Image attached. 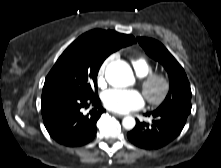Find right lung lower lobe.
Returning a JSON list of instances; mask_svg holds the SVG:
<instances>
[{"label":"right lung lower lobe","instance_id":"1","mask_svg":"<svg viewBox=\"0 0 221 168\" xmlns=\"http://www.w3.org/2000/svg\"><path fill=\"white\" fill-rule=\"evenodd\" d=\"M94 105L84 115L83 107ZM97 95L84 96L62 89H43L41 112L50 136L65 146H81L96 135V123L105 109Z\"/></svg>","mask_w":221,"mask_h":168}]
</instances>
